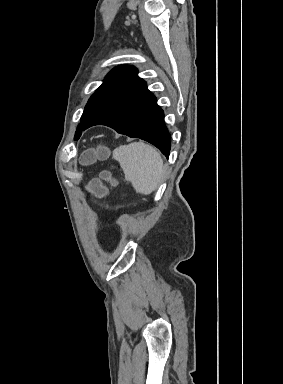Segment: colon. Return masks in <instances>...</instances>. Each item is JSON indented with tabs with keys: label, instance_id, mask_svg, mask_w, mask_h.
I'll list each match as a JSON object with an SVG mask.
<instances>
[{
	"label": "colon",
	"instance_id": "5ec220e1",
	"mask_svg": "<svg viewBox=\"0 0 283 384\" xmlns=\"http://www.w3.org/2000/svg\"><path fill=\"white\" fill-rule=\"evenodd\" d=\"M108 152L105 146H98L95 149L89 150L83 159L86 162H90L107 156ZM103 181L112 182V179L108 174H104L101 179H93L87 185L88 191L98 197L103 196L106 193V187Z\"/></svg>",
	"mask_w": 283,
	"mask_h": 384
}]
</instances>
